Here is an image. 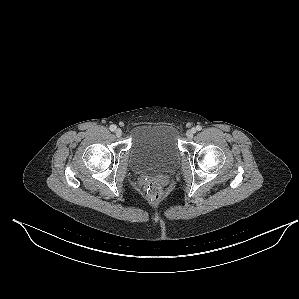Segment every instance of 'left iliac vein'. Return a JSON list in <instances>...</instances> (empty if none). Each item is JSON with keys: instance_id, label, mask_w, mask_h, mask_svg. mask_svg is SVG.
Segmentation results:
<instances>
[{"instance_id": "left-iliac-vein-1", "label": "left iliac vein", "mask_w": 299, "mask_h": 299, "mask_svg": "<svg viewBox=\"0 0 299 299\" xmlns=\"http://www.w3.org/2000/svg\"><path fill=\"white\" fill-rule=\"evenodd\" d=\"M195 132H196L195 129L188 130L186 133L187 138L192 139Z\"/></svg>"}]
</instances>
